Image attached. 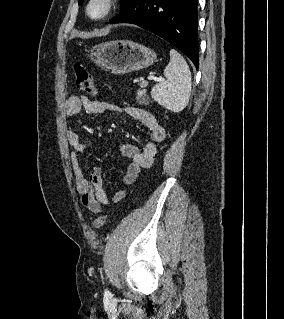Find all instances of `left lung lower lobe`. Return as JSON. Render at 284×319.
Returning <instances> with one entry per match:
<instances>
[{
    "label": "left lung lower lobe",
    "mask_w": 284,
    "mask_h": 319,
    "mask_svg": "<svg viewBox=\"0 0 284 319\" xmlns=\"http://www.w3.org/2000/svg\"><path fill=\"white\" fill-rule=\"evenodd\" d=\"M198 0H131L110 20L146 29L180 49L198 69Z\"/></svg>",
    "instance_id": "left-lung-lower-lobe-1"
}]
</instances>
